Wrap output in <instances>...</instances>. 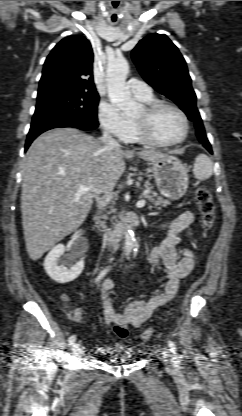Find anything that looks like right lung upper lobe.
Returning <instances> with one entry per match:
<instances>
[{
  "label": "right lung upper lobe",
  "mask_w": 242,
  "mask_h": 416,
  "mask_svg": "<svg viewBox=\"0 0 242 416\" xmlns=\"http://www.w3.org/2000/svg\"><path fill=\"white\" fill-rule=\"evenodd\" d=\"M93 51L82 36L62 39L47 57L38 95L59 89L97 93L93 81Z\"/></svg>",
  "instance_id": "right-lung-upper-lobe-1"
}]
</instances>
